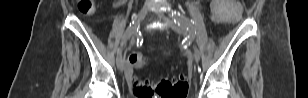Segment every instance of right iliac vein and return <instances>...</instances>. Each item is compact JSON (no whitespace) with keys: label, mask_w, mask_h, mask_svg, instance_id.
Segmentation results:
<instances>
[{"label":"right iliac vein","mask_w":308,"mask_h":98,"mask_svg":"<svg viewBox=\"0 0 308 98\" xmlns=\"http://www.w3.org/2000/svg\"><path fill=\"white\" fill-rule=\"evenodd\" d=\"M148 12H149V8L145 6L138 13V16L136 18V28H135V30L137 29L138 23L141 22L147 16ZM117 63H118V68L120 69V71L123 72L126 69V62H125V58L122 56V54H119L117 56Z\"/></svg>","instance_id":"63e3f726"}]
</instances>
